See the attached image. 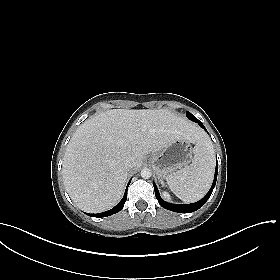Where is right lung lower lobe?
Masks as SVG:
<instances>
[{"label": "right lung lower lobe", "instance_id": "98d812e1", "mask_svg": "<svg viewBox=\"0 0 280 280\" xmlns=\"http://www.w3.org/2000/svg\"><path fill=\"white\" fill-rule=\"evenodd\" d=\"M129 184H130V182L127 185L124 197L122 198V200L114 208H112L111 210H108L106 212H103V213H98V214H88V213H86V214L88 216H91V217H99L100 218V217H107V216H110V215H113V214L119 212L123 208L124 203H125V201L127 199V189H128Z\"/></svg>", "mask_w": 280, "mask_h": 280}]
</instances>
